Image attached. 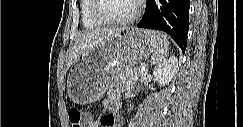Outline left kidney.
I'll use <instances>...</instances> for the list:
<instances>
[{
  "mask_svg": "<svg viewBox=\"0 0 243 127\" xmlns=\"http://www.w3.org/2000/svg\"><path fill=\"white\" fill-rule=\"evenodd\" d=\"M178 65V59L173 56L160 63L154 70L153 75L160 86L168 84L174 76Z\"/></svg>",
  "mask_w": 243,
  "mask_h": 127,
  "instance_id": "obj_1",
  "label": "left kidney"
}]
</instances>
